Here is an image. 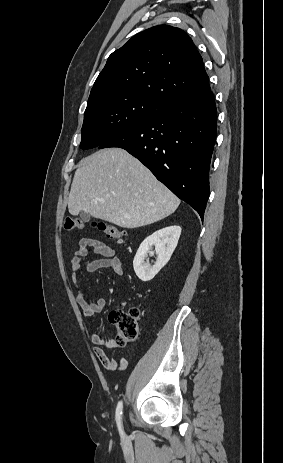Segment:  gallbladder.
<instances>
[{"label":"gallbladder","mask_w":283,"mask_h":463,"mask_svg":"<svg viewBox=\"0 0 283 463\" xmlns=\"http://www.w3.org/2000/svg\"><path fill=\"white\" fill-rule=\"evenodd\" d=\"M80 217L85 222L89 221V219H90V215L88 213L83 212V211L80 212Z\"/></svg>","instance_id":"1"}]
</instances>
